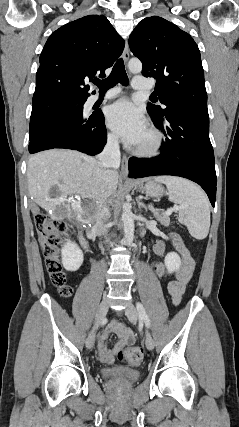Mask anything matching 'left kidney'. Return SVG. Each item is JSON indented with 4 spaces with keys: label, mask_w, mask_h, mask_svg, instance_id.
Instances as JSON below:
<instances>
[{
    "label": "left kidney",
    "mask_w": 239,
    "mask_h": 427,
    "mask_svg": "<svg viewBox=\"0 0 239 427\" xmlns=\"http://www.w3.org/2000/svg\"><path fill=\"white\" fill-rule=\"evenodd\" d=\"M165 266L169 272H174L179 269L181 265V259L175 252H170L165 257Z\"/></svg>",
    "instance_id": "obj_1"
}]
</instances>
